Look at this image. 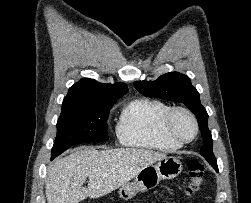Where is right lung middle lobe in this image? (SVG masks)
<instances>
[{
  "label": "right lung middle lobe",
  "instance_id": "dd1d6c3e",
  "mask_svg": "<svg viewBox=\"0 0 251 203\" xmlns=\"http://www.w3.org/2000/svg\"><path fill=\"white\" fill-rule=\"evenodd\" d=\"M115 102L62 105L51 159L75 144L108 140L107 117Z\"/></svg>",
  "mask_w": 251,
  "mask_h": 203
}]
</instances>
